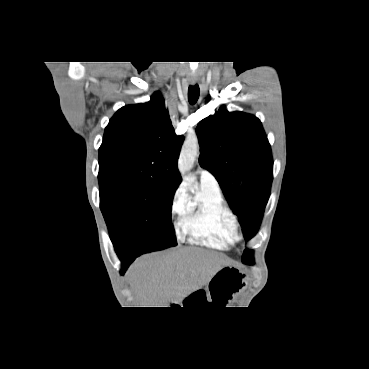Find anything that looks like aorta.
<instances>
[{"label":"aorta","instance_id":"aorta-1","mask_svg":"<svg viewBox=\"0 0 369 369\" xmlns=\"http://www.w3.org/2000/svg\"><path fill=\"white\" fill-rule=\"evenodd\" d=\"M199 152L197 137L189 136L186 138L178 161L180 174L185 177L192 169L195 158Z\"/></svg>","mask_w":369,"mask_h":369}]
</instances>
